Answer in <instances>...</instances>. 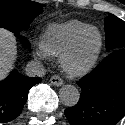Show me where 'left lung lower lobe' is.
Wrapping results in <instances>:
<instances>
[{"instance_id":"0a47b994","label":"left lung lower lobe","mask_w":125,"mask_h":125,"mask_svg":"<svg viewBox=\"0 0 125 125\" xmlns=\"http://www.w3.org/2000/svg\"><path fill=\"white\" fill-rule=\"evenodd\" d=\"M78 103L65 110L71 125H115L125 115V48L117 49L77 82Z\"/></svg>"}]
</instances>
